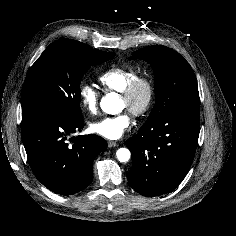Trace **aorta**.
<instances>
[{"instance_id":"1","label":"aorta","mask_w":236,"mask_h":236,"mask_svg":"<svg viewBox=\"0 0 236 236\" xmlns=\"http://www.w3.org/2000/svg\"><path fill=\"white\" fill-rule=\"evenodd\" d=\"M100 106L105 113L115 115L122 111L123 102L117 93L112 92L102 98ZM116 156L120 162H127L131 153L127 148H120L117 150Z\"/></svg>"}]
</instances>
